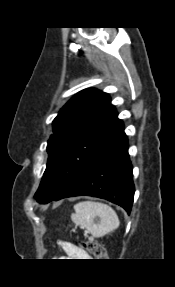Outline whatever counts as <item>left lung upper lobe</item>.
I'll list each match as a JSON object with an SVG mask.
<instances>
[{
    "instance_id": "obj_1",
    "label": "left lung upper lobe",
    "mask_w": 175,
    "mask_h": 287,
    "mask_svg": "<svg viewBox=\"0 0 175 287\" xmlns=\"http://www.w3.org/2000/svg\"><path fill=\"white\" fill-rule=\"evenodd\" d=\"M123 130L107 93L91 88L76 94L53 121L47 167L34 196L37 201L56 198Z\"/></svg>"
}]
</instances>
